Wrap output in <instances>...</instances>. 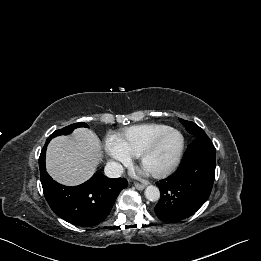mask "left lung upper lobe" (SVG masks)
I'll use <instances>...</instances> for the list:
<instances>
[{"label":"left lung upper lobe","instance_id":"5c2ea615","mask_svg":"<svg viewBox=\"0 0 261 261\" xmlns=\"http://www.w3.org/2000/svg\"><path fill=\"white\" fill-rule=\"evenodd\" d=\"M180 122L185 126L186 130L196 138L199 135L205 134V132L195 123L179 119Z\"/></svg>","mask_w":261,"mask_h":261}]
</instances>
